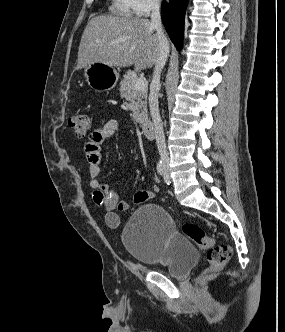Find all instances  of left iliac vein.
<instances>
[{"mask_svg": "<svg viewBox=\"0 0 285 332\" xmlns=\"http://www.w3.org/2000/svg\"><path fill=\"white\" fill-rule=\"evenodd\" d=\"M164 181L167 183L170 181V175L167 165L164 166Z\"/></svg>", "mask_w": 285, "mask_h": 332, "instance_id": "4c4485c4", "label": "left iliac vein"}]
</instances>
